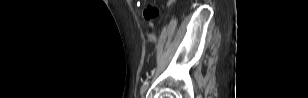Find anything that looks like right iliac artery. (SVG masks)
Listing matches in <instances>:
<instances>
[{
    "instance_id": "82829eb1",
    "label": "right iliac artery",
    "mask_w": 308,
    "mask_h": 98,
    "mask_svg": "<svg viewBox=\"0 0 308 98\" xmlns=\"http://www.w3.org/2000/svg\"><path fill=\"white\" fill-rule=\"evenodd\" d=\"M148 87V81H145L144 84L141 87V93Z\"/></svg>"
}]
</instances>
